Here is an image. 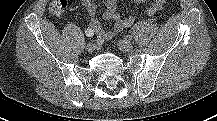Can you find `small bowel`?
<instances>
[{
	"instance_id": "1",
	"label": "small bowel",
	"mask_w": 217,
	"mask_h": 121,
	"mask_svg": "<svg viewBox=\"0 0 217 121\" xmlns=\"http://www.w3.org/2000/svg\"><path fill=\"white\" fill-rule=\"evenodd\" d=\"M82 5L86 8L91 17L89 29L98 35V41L111 40L118 35L125 28L130 27L135 18L133 16L122 17L117 11V0H103L104 12L103 19L105 21H112L113 28L109 31H104L100 21L97 19V4L95 0H80ZM136 3L145 2L147 0H133ZM165 0H152V3L147 7L146 12L152 16L161 11L164 7Z\"/></svg>"
}]
</instances>
